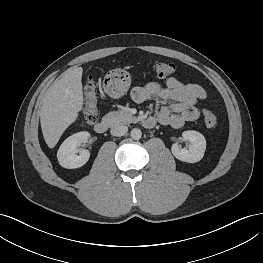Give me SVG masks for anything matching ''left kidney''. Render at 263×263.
Instances as JSON below:
<instances>
[{
    "instance_id": "left-kidney-1",
    "label": "left kidney",
    "mask_w": 263,
    "mask_h": 263,
    "mask_svg": "<svg viewBox=\"0 0 263 263\" xmlns=\"http://www.w3.org/2000/svg\"><path fill=\"white\" fill-rule=\"evenodd\" d=\"M183 139L189 141L187 148H180L177 143L171 147L172 154L179 160L195 163L200 161L205 153L206 140L198 131L188 130L182 133Z\"/></svg>"
}]
</instances>
